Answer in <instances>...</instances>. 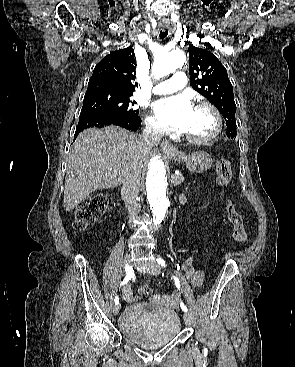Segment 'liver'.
I'll return each mask as SVG.
<instances>
[{
	"instance_id": "1",
	"label": "liver",
	"mask_w": 295,
	"mask_h": 367,
	"mask_svg": "<svg viewBox=\"0 0 295 367\" xmlns=\"http://www.w3.org/2000/svg\"><path fill=\"white\" fill-rule=\"evenodd\" d=\"M150 151L140 135L117 126L81 132L68 155L65 211H72L97 190L121 185L130 172L141 176Z\"/></svg>"
}]
</instances>
